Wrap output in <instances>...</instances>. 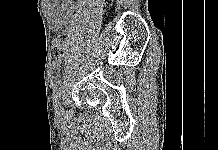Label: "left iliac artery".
Segmentation results:
<instances>
[{
	"label": "left iliac artery",
	"instance_id": "44dca946",
	"mask_svg": "<svg viewBox=\"0 0 218 150\" xmlns=\"http://www.w3.org/2000/svg\"><path fill=\"white\" fill-rule=\"evenodd\" d=\"M62 89H63V82L62 80H58L53 88V101L55 103L59 100L60 95L62 93Z\"/></svg>",
	"mask_w": 218,
	"mask_h": 150
}]
</instances>
